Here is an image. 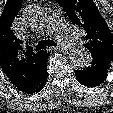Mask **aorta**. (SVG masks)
<instances>
[{
    "label": "aorta",
    "instance_id": "obj_1",
    "mask_svg": "<svg viewBox=\"0 0 113 113\" xmlns=\"http://www.w3.org/2000/svg\"><path fill=\"white\" fill-rule=\"evenodd\" d=\"M69 58L71 63L79 69H85L89 67L92 62V56L90 52L84 47L73 49L69 54Z\"/></svg>",
    "mask_w": 113,
    "mask_h": 113
}]
</instances>
